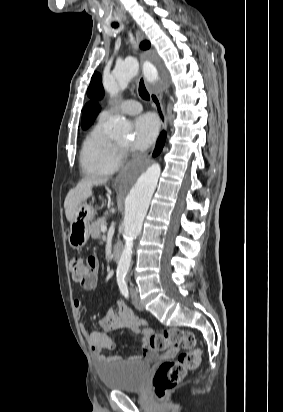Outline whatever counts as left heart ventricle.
Instances as JSON below:
<instances>
[{
    "label": "left heart ventricle",
    "instance_id": "left-heart-ventricle-1",
    "mask_svg": "<svg viewBox=\"0 0 283 412\" xmlns=\"http://www.w3.org/2000/svg\"><path fill=\"white\" fill-rule=\"evenodd\" d=\"M120 145H124L127 146L129 144V140L128 139H124L118 142Z\"/></svg>",
    "mask_w": 283,
    "mask_h": 412
}]
</instances>
